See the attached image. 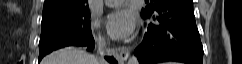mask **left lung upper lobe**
Instances as JSON below:
<instances>
[{
    "label": "left lung upper lobe",
    "mask_w": 242,
    "mask_h": 64,
    "mask_svg": "<svg viewBox=\"0 0 242 64\" xmlns=\"http://www.w3.org/2000/svg\"><path fill=\"white\" fill-rule=\"evenodd\" d=\"M162 1L164 0H145V2H150V3L145 7V9H142L141 13L153 11V9Z\"/></svg>",
    "instance_id": "5c2ea615"
}]
</instances>
